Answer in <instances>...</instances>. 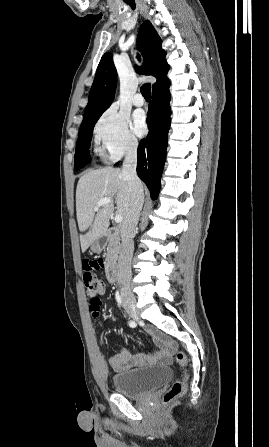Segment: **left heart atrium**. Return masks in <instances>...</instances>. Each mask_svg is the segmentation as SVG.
Segmentation results:
<instances>
[{
	"instance_id": "39dd6f15",
	"label": "left heart atrium",
	"mask_w": 269,
	"mask_h": 447,
	"mask_svg": "<svg viewBox=\"0 0 269 447\" xmlns=\"http://www.w3.org/2000/svg\"><path fill=\"white\" fill-rule=\"evenodd\" d=\"M133 130L139 136L148 132V119L143 110H137L133 114Z\"/></svg>"
}]
</instances>
